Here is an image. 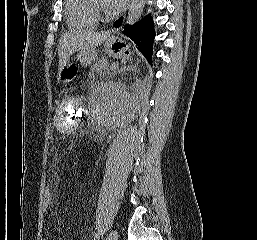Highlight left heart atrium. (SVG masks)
Returning a JSON list of instances; mask_svg holds the SVG:
<instances>
[{
  "instance_id": "1",
  "label": "left heart atrium",
  "mask_w": 257,
  "mask_h": 240,
  "mask_svg": "<svg viewBox=\"0 0 257 240\" xmlns=\"http://www.w3.org/2000/svg\"><path fill=\"white\" fill-rule=\"evenodd\" d=\"M106 1H107V6L113 11L122 10L128 3V0H106Z\"/></svg>"
}]
</instances>
